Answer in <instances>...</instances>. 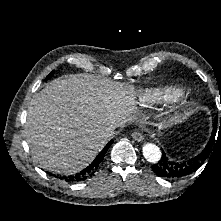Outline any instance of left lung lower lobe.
I'll list each match as a JSON object with an SVG mask.
<instances>
[{
	"label": "left lung lower lobe",
	"mask_w": 221,
	"mask_h": 221,
	"mask_svg": "<svg viewBox=\"0 0 221 221\" xmlns=\"http://www.w3.org/2000/svg\"><path fill=\"white\" fill-rule=\"evenodd\" d=\"M212 143L209 142L205 149L197 156L184 161H175L162 151L160 160L152 165L151 168L160 177L168 179L185 177L200 167L202 162L208 156Z\"/></svg>",
	"instance_id": "1"
}]
</instances>
